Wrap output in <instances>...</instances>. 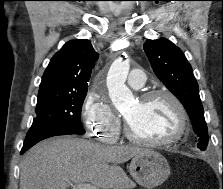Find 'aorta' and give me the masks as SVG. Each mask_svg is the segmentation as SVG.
I'll list each match as a JSON object with an SVG mask.
<instances>
[{
  "label": "aorta",
  "mask_w": 223,
  "mask_h": 189,
  "mask_svg": "<svg viewBox=\"0 0 223 189\" xmlns=\"http://www.w3.org/2000/svg\"><path fill=\"white\" fill-rule=\"evenodd\" d=\"M130 69L129 59L117 58L111 65L107 75V88L114 107L123 110L133 101V94L125 85Z\"/></svg>",
  "instance_id": "762f6f07"
}]
</instances>
